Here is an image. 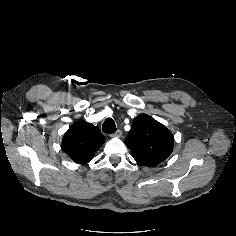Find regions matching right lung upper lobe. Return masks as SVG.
Masks as SVG:
<instances>
[{
	"label": "right lung upper lobe",
	"instance_id": "cb5924a9",
	"mask_svg": "<svg viewBox=\"0 0 236 236\" xmlns=\"http://www.w3.org/2000/svg\"><path fill=\"white\" fill-rule=\"evenodd\" d=\"M104 141L105 137L98 127L80 120L64 134L62 149L76 163L86 164Z\"/></svg>",
	"mask_w": 236,
	"mask_h": 236
}]
</instances>
